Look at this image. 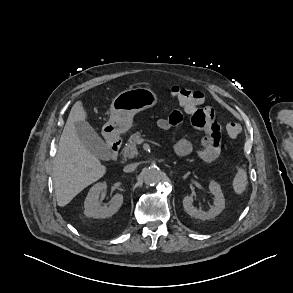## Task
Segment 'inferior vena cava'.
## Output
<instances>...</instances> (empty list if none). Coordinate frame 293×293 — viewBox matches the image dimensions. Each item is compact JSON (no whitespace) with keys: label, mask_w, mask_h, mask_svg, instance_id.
Segmentation results:
<instances>
[{"label":"inferior vena cava","mask_w":293,"mask_h":293,"mask_svg":"<svg viewBox=\"0 0 293 293\" xmlns=\"http://www.w3.org/2000/svg\"><path fill=\"white\" fill-rule=\"evenodd\" d=\"M137 167V163H132V164H128L124 167L123 171L125 173H129V172H132L136 169Z\"/></svg>","instance_id":"1"}]
</instances>
